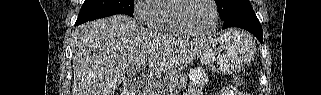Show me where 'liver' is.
<instances>
[{
    "instance_id": "obj_1",
    "label": "liver",
    "mask_w": 321,
    "mask_h": 95,
    "mask_svg": "<svg viewBox=\"0 0 321 95\" xmlns=\"http://www.w3.org/2000/svg\"><path fill=\"white\" fill-rule=\"evenodd\" d=\"M207 43L149 33L126 15L82 24L73 33L72 95H114L140 62L152 75L177 72Z\"/></svg>"
}]
</instances>
